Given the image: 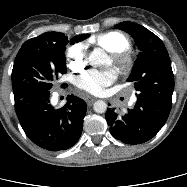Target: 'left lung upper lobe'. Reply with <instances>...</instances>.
Here are the masks:
<instances>
[{"instance_id":"left-lung-upper-lobe-1","label":"left lung upper lobe","mask_w":187,"mask_h":187,"mask_svg":"<svg viewBox=\"0 0 187 187\" xmlns=\"http://www.w3.org/2000/svg\"><path fill=\"white\" fill-rule=\"evenodd\" d=\"M115 28L130 34L140 50L127 79L134 83L137 97L172 104L174 76L168 52L161 39L145 27L129 21L116 24Z\"/></svg>"}]
</instances>
